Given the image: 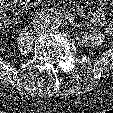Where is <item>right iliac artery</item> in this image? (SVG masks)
<instances>
[{
	"instance_id": "right-iliac-artery-1",
	"label": "right iliac artery",
	"mask_w": 113,
	"mask_h": 113,
	"mask_svg": "<svg viewBox=\"0 0 113 113\" xmlns=\"http://www.w3.org/2000/svg\"><path fill=\"white\" fill-rule=\"evenodd\" d=\"M52 16H58V18H61V19H66L67 18V14L63 11H48V12H44V11H41L37 16L36 18L33 20L32 24H33V27H39V25L47 20V18L49 17H52Z\"/></svg>"
}]
</instances>
